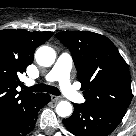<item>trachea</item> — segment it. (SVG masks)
Here are the masks:
<instances>
[{"instance_id": "obj_1", "label": "trachea", "mask_w": 136, "mask_h": 136, "mask_svg": "<svg viewBox=\"0 0 136 136\" xmlns=\"http://www.w3.org/2000/svg\"><path fill=\"white\" fill-rule=\"evenodd\" d=\"M23 89L29 92H48L53 95H60V91L54 86H48L46 84H38L32 87L24 86Z\"/></svg>"}]
</instances>
